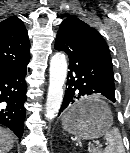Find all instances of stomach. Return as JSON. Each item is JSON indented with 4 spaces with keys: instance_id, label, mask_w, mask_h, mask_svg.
I'll return each mask as SVG.
<instances>
[{
    "instance_id": "0dacf381",
    "label": "stomach",
    "mask_w": 130,
    "mask_h": 153,
    "mask_svg": "<svg viewBox=\"0 0 130 153\" xmlns=\"http://www.w3.org/2000/svg\"><path fill=\"white\" fill-rule=\"evenodd\" d=\"M112 123V113L107 104L93 97L79 101L62 119L65 130L85 140L102 136Z\"/></svg>"
}]
</instances>
